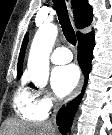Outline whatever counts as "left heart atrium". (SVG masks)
I'll return each mask as SVG.
<instances>
[{"instance_id":"39dd6f15","label":"left heart atrium","mask_w":112,"mask_h":135,"mask_svg":"<svg viewBox=\"0 0 112 135\" xmlns=\"http://www.w3.org/2000/svg\"><path fill=\"white\" fill-rule=\"evenodd\" d=\"M79 71L73 64L55 67L51 73V86L58 97L69 94L77 85Z\"/></svg>"}]
</instances>
